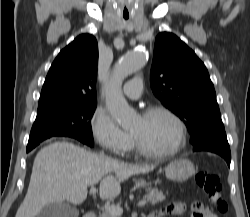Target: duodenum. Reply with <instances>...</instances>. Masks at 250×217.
<instances>
[{
    "label": "duodenum",
    "instance_id": "410a0bca",
    "mask_svg": "<svg viewBox=\"0 0 250 217\" xmlns=\"http://www.w3.org/2000/svg\"><path fill=\"white\" fill-rule=\"evenodd\" d=\"M84 217H97V214L94 210H88L85 214ZM148 217H158V214L156 212L150 214Z\"/></svg>",
    "mask_w": 250,
    "mask_h": 217
}]
</instances>
